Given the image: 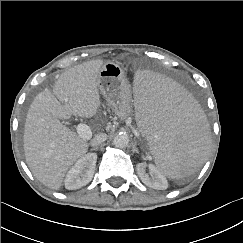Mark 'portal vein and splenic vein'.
<instances>
[{"instance_id": "1", "label": "portal vein and splenic vein", "mask_w": 243, "mask_h": 243, "mask_svg": "<svg viewBox=\"0 0 243 243\" xmlns=\"http://www.w3.org/2000/svg\"><path fill=\"white\" fill-rule=\"evenodd\" d=\"M77 133L79 134L80 137L84 139H89L92 135V132L86 124L80 123L77 125Z\"/></svg>"}]
</instances>
